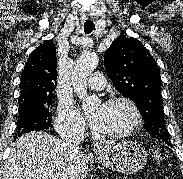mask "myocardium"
I'll list each match as a JSON object with an SVG mask.
<instances>
[{"label": "myocardium", "mask_w": 183, "mask_h": 179, "mask_svg": "<svg viewBox=\"0 0 183 179\" xmlns=\"http://www.w3.org/2000/svg\"><path fill=\"white\" fill-rule=\"evenodd\" d=\"M117 103H124L130 107L134 115V121L133 124L125 130L119 132H102V134L106 137L124 138L138 131L142 125V113L138 105L132 99L125 96H115L106 100L105 105H113Z\"/></svg>", "instance_id": "f54148a6"}]
</instances>
